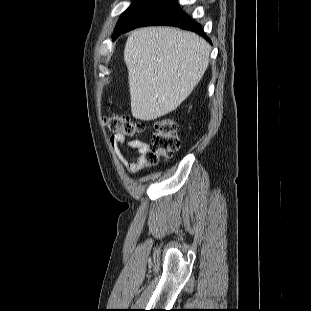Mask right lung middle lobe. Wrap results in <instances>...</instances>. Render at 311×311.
Returning a JSON list of instances; mask_svg holds the SVG:
<instances>
[{"label":"right lung middle lobe","mask_w":311,"mask_h":311,"mask_svg":"<svg viewBox=\"0 0 311 311\" xmlns=\"http://www.w3.org/2000/svg\"><path fill=\"white\" fill-rule=\"evenodd\" d=\"M158 0H134L129 8L122 14L116 26L113 39H116L123 30L146 8L155 4Z\"/></svg>","instance_id":"right-lung-middle-lobe-1"}]
</instances>
